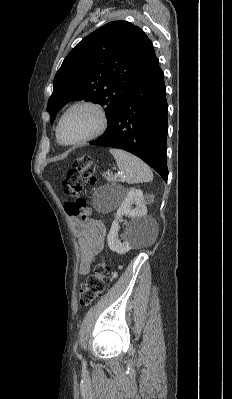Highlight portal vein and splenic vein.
<instances>
[{
  "label": "portal vein and splenic vein",
  "mask_w": 232,
  "mask_h": 399,
  "mask_svg": "<svg viewBox=\"0 0 232 399\" xmlns=\"http://www.w3.org/2000/svg\"><path fill=\"white\" fill-rule=\"evenodd\" d=\"M118 174H120V176H122V172H118Z\"/></svg>",
  "instance_id": "obj_1"
}]
</instances>
